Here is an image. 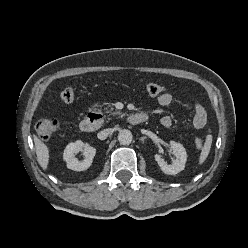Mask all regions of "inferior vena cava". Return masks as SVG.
I'll list each match as a JSON object with an SVG mask.
<instances>
[{
  "label": "inferior vena cava",
  "mask_w": 248,
  "mask_h": 248,
  "mask_svg": "<svg viewBox=\"0 0 248 248\" xmlns=\"http://www.w3.org/2000/svg\"><path fill=\"white\" fill-rule=\"evenodd\" d=\"M111 131H112V130L109 129V128L100 131V132L98 133V135H97L98 139H100V140L106 139V138L110 135Z\"/></svg>",
  "instance_id": "obj_1"
}]
</instances>
